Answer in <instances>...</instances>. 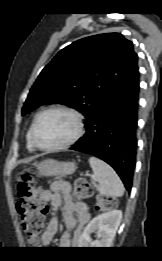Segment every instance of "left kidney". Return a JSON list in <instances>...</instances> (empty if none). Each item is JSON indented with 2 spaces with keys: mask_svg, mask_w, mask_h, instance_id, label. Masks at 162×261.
Wrapping results in <instances>:
<instances>
[{
  "mask_svg": "<svg viewBox=\"0 0 162 261\" xmlns=\"http://www.w3.org/2000/svg\"><path fill=\"white\" fill-rule=\"evenodd\" d=\"M122 219V211L109 210L93 218L84 228L81 234L78 247L80 248H108L116 235L118 226ZM99 234V239L92 241V232Z\"/></svg>",
  "mask_w": 162,
  "mask_h": 261,
  "instance_id": "left-kidney-1",
  "label": "left kidney"
}]
</instances>
